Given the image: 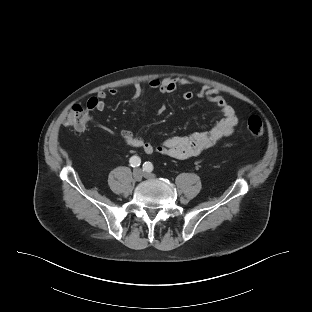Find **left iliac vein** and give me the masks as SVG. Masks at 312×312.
<instances>
[{
	"label": "left iliac vein",
	"instance_id": "4c4485c4",
	"mask_svg": "<svg viewBox=\"0 0 312 312\" xmlns=\"http://www.w3.org/2000/svg\"><path fill=\"white\" fill-rule=\"evenodd\" d=\"M144 177L145 178H155V174H152V173H144Z\"/></svg>",
	"mask_w": 312,
	"mask_h": 312
}]
</instances>
